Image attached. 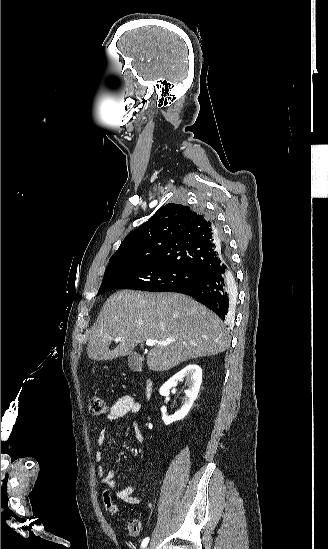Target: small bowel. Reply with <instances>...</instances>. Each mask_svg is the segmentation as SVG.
<instances>
[{
  "label": "small bowel",
  "mask_w": 328,
  "mask_h": 549,
  "mask_svg": "<svg viewBox=\"0 0 328 549\" xmlns=\"http://www.w3.org/2000/svg\"><path fill=\"white\" fill-rule=\"evenodd\" d=\"M141 410V405L133 397L129 395L121 396L110 408L107 421L114 422L122 419L127 414H135ZM108 435L106 428L102 429L96 439V446L99 448L103 445ZM136 437L140 443L143 442V437L139 430L136 432ZM95 459L99 463L97 468L98 475L102 478V484L110 489L114 490L115 496L127 504H139L142 499L135 496V487L128 486L125 488H119L115 481V473L112 470H106L102 465L103 454L100 450L96 451ZM153 477L151 476V479ZM147 506H151L150 502H147Z\"/></svg>",
  "instance_id": "small-bowel-1"
}]
</instances>
